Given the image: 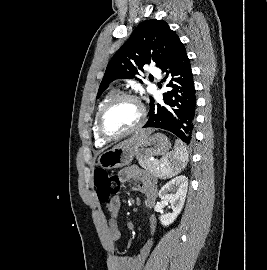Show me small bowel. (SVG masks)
Masks as SVG:
<instances>
[{"label": "small bowel", "instance_id": "obj_1", "mask_svg": "<svg viewBox=\"0 0 267 270\" xmlns=\"http://www.w3.org/2000/svg\"><path fill=\"white\" fill-rule=\"evenodd\" d=\"M119 177L123 182L133 181L132 188L140 191L145 196V205L148 208L154 207L156 203V188L153 181L144 175L137 166H130L119 172ZM121 207L119 197L112 198L107 208L109 211L108 218V236L112 242H117L121 238V231L118 225V213ZM150 231H155V219L149 220ZM153 245L152 239H148L141 247L139 253L134 257L120 256L115 257L114 262L117 270H142L145 261L151 251Z\"/></svg>", "mask_w": 267, "mask_h": 270}]
</instances>
